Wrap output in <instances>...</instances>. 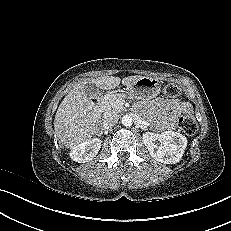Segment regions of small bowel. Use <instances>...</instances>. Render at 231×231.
Segmentation results:
<instances>
[{
    "instance_id": "c3829d8e",
    "label": "small bowel",
    "mask_w": 231,
    "mask_h": 231,
    "mask_svg": "<svg viewBox=\"0 0 231 231\" xmlns=\"http://www.w3.org/2000/svg\"><path fill=\"white\" fill-rule=\"evenodd\" d=\"M147 108L153 118L155 126L160 130H170L174 128L176 119L182 113L191 110L187 102L177 99H155L151 101Z\"/></svg>"
}]
</instances>
